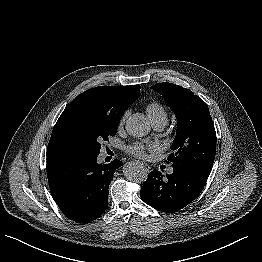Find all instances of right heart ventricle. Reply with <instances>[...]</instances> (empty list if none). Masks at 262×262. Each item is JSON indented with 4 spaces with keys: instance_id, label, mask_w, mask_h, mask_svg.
<instances>
[{
    "instance_id": "e07e8e85",
    "label": "right heart ventricle",
    "mask_w": 262,
    "mask_h": 262,
    "mask_svg": "<svg viewBox=\"0 0 262 262\" xmlns=\"http://www.w3.org/2000/svg\"><path fill=\"white\" fill-rule=\"evenodd\" d=\"M146 113L151 123L153 122H164L168 121V116L165 108L158 102H151L146 107Z\"/></svg>"
}]
</instances>
